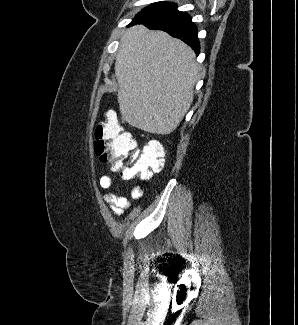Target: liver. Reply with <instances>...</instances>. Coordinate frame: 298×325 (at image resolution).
I'll use <instances>...</instances> for the list:
<instances>
[{"label": "liver", "instance_id": "obj_1", "mask_svg": "<svg viewBox=\"0 0 298 325\" xmlns=\"http://www.w3.org/2000/svg\"><path fill=\"white\" fill-rule=\"evenodd\" d=\"M195 52L163 30L127 28L115 60L122 120L152 134H170L188 112L198 80Z\"/></svg>", "mask_w": 298, "mask_h": 325}]
</instances>
